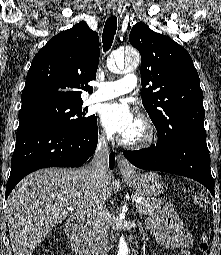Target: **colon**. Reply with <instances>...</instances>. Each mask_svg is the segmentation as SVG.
Segmentation results:
<instances>
[{
  "instance_id": "5ec220e1",
  "label": "colon",
  "mask_w": 221,
  "mask_h": 255,
  "mask_svg": "<svg viewBox=\"0 0 221 255\" xmlns=\"http://www.w3.org/2000/svg\"><path fill=\"white\" fill-rule=\"evenodd\" d=\"M193 201H194L195 205H197L201 209H206L207 204H208V199H207L206 195L201 192L196 193L193 196ZM207 250H208V241H207V238L204 236V237H202V239L199 243V251L203 255H205ZM40 255H43V254H40Z\"/></svg>"
}]
</instances>
